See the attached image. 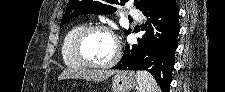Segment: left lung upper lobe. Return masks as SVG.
<instances>
[{"label":"left lung upper lobe","instance_id":"obj_1","mask_svg":"<svg viewBox=\"0 0 225 92\" xmlns=\"http://www.w3.org/2000/svg\"><path fill=\"white\" fill-rule=\"evenodd\" d=\"M128 0H70L61 19V26L74 16L82 14H110L117 9L113 5H124ZM160 0H134V5L143 13L153 8ZM130 29L125 31L128 35Z\"/></svg>","mask_w":225,"mask_h":92}]
</instances>
